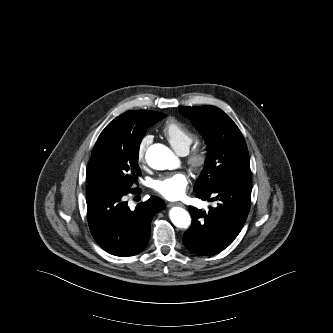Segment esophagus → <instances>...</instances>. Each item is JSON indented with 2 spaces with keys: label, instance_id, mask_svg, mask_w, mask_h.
Wrapping results in <instances>:
<instances>
[{
  "label": "esophagus",
  "instance_id": "obj_1",
  "mask_svg": "<svg viewBox=\"0 0 333 333\" xmlns=\"http://www.w3.org/2000/svg\"><path fill=\"white\" fill-rule=\"evenodd\" d=\"M168 206H169V207H172V206H180V207H184V204L181 203V202H174V203H170Z\"/></svg>",
  "mask_w": 333,
  "mask_h": 333
}]
</instances>
